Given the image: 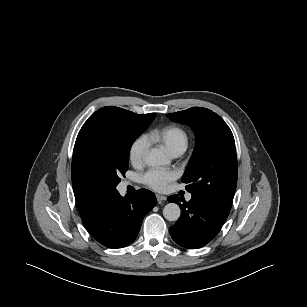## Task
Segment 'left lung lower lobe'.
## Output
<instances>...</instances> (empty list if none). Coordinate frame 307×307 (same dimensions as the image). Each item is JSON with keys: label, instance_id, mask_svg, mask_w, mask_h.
I'll use <instances>...</instances> for the list:
<instances>
[{"label": "left lung lower lobe", "instance_id": "1", "mask_svg": "<svg viewBox=\"0 0 307 307\" xmlns=\"http://www.w3.org/2000/svg\"><path fill=\"white\" fill-rule=\"evenodd\" d=\"M167 200L179 204L182 209L181 217L169 232L172 239L185 248L205 246L217 235L227 218L193 197L188 203H180L182 200L177 195L169 196Z\"/></svg>", "mask_w": 307, "mask_h": 307}]
</instances>
